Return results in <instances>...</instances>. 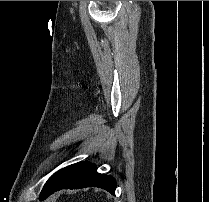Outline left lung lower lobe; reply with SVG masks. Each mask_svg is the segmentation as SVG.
I'll return each instance as SVG.
<instances>
[{
    "mask_svg": "<svg viewBox=\"0 0 209 202\" xmlns=\"http://www.w3.org/2000/svg\"><path fill=\"white\" fill-rule=\"evenodd\" d=\"M98 187L115 195L116 181L113 177L100 174L97 167L83 162L69 165L54 173L44 185L39 199L42 201L60 189Z\"/></svg>",
    "mask_w": 209,
    "mask_h": 202,
    "instance_id": "obj_1",
    "label": "left lung lower lobe"
}]
</instances>
